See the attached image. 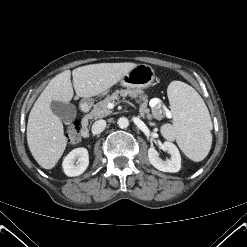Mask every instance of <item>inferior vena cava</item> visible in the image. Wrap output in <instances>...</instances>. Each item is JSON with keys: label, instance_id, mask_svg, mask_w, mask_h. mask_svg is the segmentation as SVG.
<instances>
[{"label": "inferior vena cava", "instance_id": "602c4592", "mask_svg": "<svg viewBox=\"0 0 247 247\" xmlns=\"http://www.w3.org/2000/svg\"><path fill=\"white\" fill-rule=\"evenodd\" d=\"M106 127V121L105 120H97L92 125V133L94 134H100Z\"/></svg>", "mask_w": 247, "mask_h": 247}]
</instances>
